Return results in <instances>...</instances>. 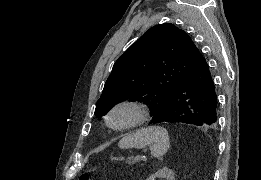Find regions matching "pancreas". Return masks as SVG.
Masks as SVG:
<instances>
[{
    "label": "pancreas",
    "mask_w": 261,
    "mask_h": 180,
    "mask_svg": "<svg viewBox=\"0 0 261 180\" xmlns=\"http://www.w3.org/2000/svg\"><path fill=\"white\" fill-rule=\"evenodd\" d=\"M130 164H140V162H136L135 158L134 159L128 158L127 162H125V167H130Z\"/></svg>",
    "instance_id": "pancreas-1"
}]
</instances>
